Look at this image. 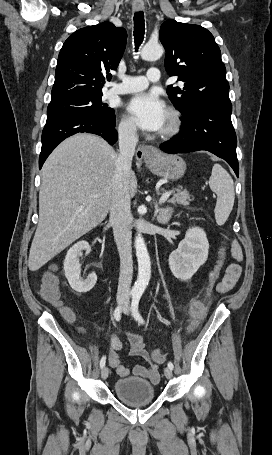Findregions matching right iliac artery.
Segmentation results:
<instances>
[{
    "mask_svg": "<svg viewBox=\"0 0 272 455\" xmlns=\"http://www.w3.org/2000/svg\"><path fill=\"white\" fill-rule=\"evenodd\" d=\"M131 295L134 296L133 293H131ZM121 311H122V307L121 306H118L115 311H114V318L116 319V321H119L121 319ZM105 363H106V356H103L100 360V368H103L105 366Z\"/></svg>",
    "mask_w": 272,
    "mask_h": 455,
    "instance_id": "right-iliac-artery-1",
    "label": "right iliac artery"
}]
</instances>
